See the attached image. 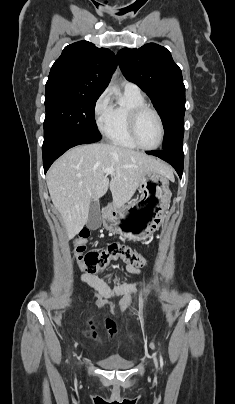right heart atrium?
<instances>
[{
	"label": "right heart atrium",
	"mask_w": 235,
	"mask_h": 404,
	"mask_svg": "<svg viewBox=\"0 0 235 404\" xmlns=\"http://www.w3.org/2000/svg\"><path fill=\"white\" fill-rule=\"evenodd\" d=\"M112 107L111 97L108 91H103L96 99L93 106V117L97 127L102 131L107 123Z\"/></svg>",
	"instance_id": "d8ad5b80"
}]
</instances>
